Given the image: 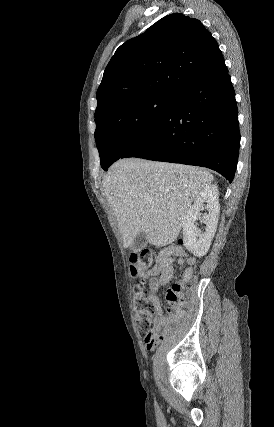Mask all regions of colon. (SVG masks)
I'll return each instance as SVG.
<instances>
[{"label":"colon","mask_w":274,"mask_h":427,"mask_svg":"<svg viewBox=\"0 0 274 427\" xmlns=\"http://www.w3.org/2000/svg\"><path fill=\"white\" fill-rule=\"evenodd\" d=\"M176 246L184 245L183 237L175 238ZM132 263H134V277H140L142 279L149 278V260L141 258L140 253H135L132 257ZM184 281H187L186 276ZM187 285V282H186ZM188 286V285H187ZM182 285L180 282L170 284L165 291V299L168 303H175L179 298ZM135 322L138 331L142 337H151V350H152V334L155 332V321H154V309L150 302L145 299L138 298L136 300V315Z\"/></svg>","instance_id":"5ec220e1"}]
</instances>
